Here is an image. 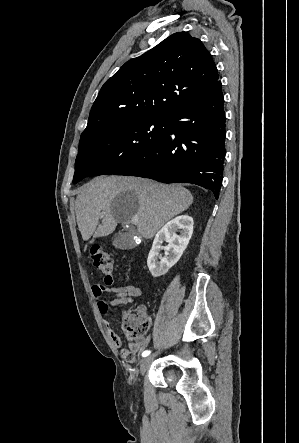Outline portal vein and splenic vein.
Returning a JSON list of instances; mask_svg holds the SVG:
<instances>
[{
    "label": "portal vein and splenic vein",
    "mask_w": 299,
    "mask_h": 443,
    "mask_svg": "<svg viewBox=\"0 0 299 443\" xmlns=\"http://www.w3.org/2000/svg\"><path fill=\"white\" fill-rule=\"evenodd\" d=\"M132 224H138V222H139V218L137 217V216H134V217H132L131 218V221H130Z\"/></svg>",
    "instance_id": "18ae733b"
}]
</instances>
